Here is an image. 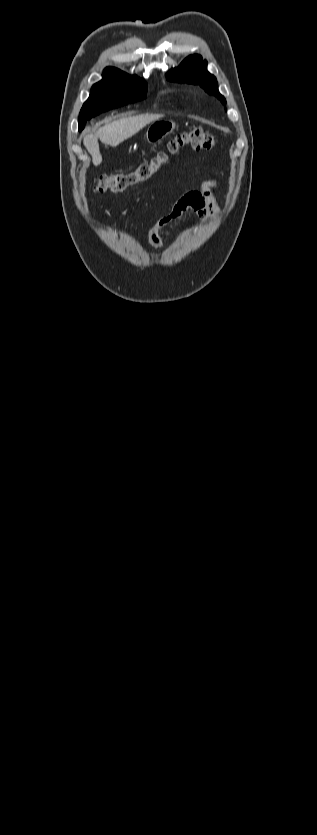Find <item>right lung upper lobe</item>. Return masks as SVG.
I'll use <instances>...</instances> for the list:
<instances>
[{
  "instance_id": "obj_1",
  "label": "right lung upper lobe",
  "mask_w": 317,
  "mask_h": 835,
  "mask_svg": "<svg viewBox=\"0 0 317 835\" xmlns=\"http://www.w3.org/2000/svg\"><path fill=\"white\" fill-rule=\"evenodd\" d=\"M116 70H119V69L114 68V67H107V68L104 69V74L103 75L108 74V73L113 72V71H116Z\"/></svg>"
}]
</instances>
